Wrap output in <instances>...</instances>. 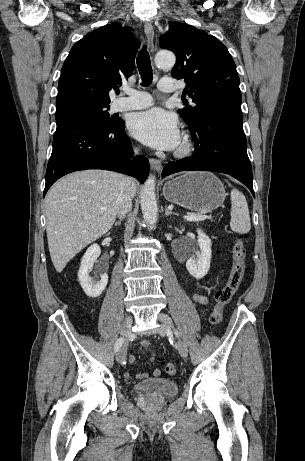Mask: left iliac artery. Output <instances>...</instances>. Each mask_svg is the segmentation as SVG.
<instances>
[{"label": "left iliac artery", "instance_id": "1", "mask_svg": "<svg viewBox=\"0 0 305 461\" xmlns=\"http://www.w3.org/2000/svg\"><path fill=\"white\" fill-rule=\"evenodd\" d=\"M175 334H176L177 336H179V333H178V331H175Z\"/></svg>", "mask_w": 305, "mask_h": 461}]
</instances>
